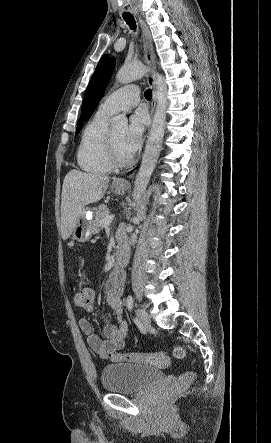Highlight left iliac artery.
Returning a JSON list of instances; mask_svg holds the SVG:
<instances>
[{
    "label": "left iliac artery",
    "instance_id": "left-iliac-artery-1",
    "mask_svg": "<svg viewBox=\"0 0 271 443\" xmlns=\"http://www.w3.org/2000/svg\"><path fill=\"white\" fill-rule=\"evenodd\" d=\"M133 304H134V299H133V297H132L131 295H129V296L127 297V299H126V306H127V308H128L129 311L132 310V308H133Z\"/></svg>",
    "mask_w": 271,
    "mask_h": 443
}]
</instances>
